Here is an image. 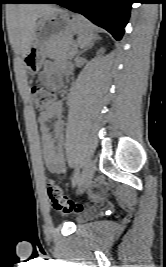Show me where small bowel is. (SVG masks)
Instances as JSON below:
<instances>
[{
  "label": "small bowel",
  "instance_id": "1",
  "mask_svg": "<svg viewBox=\"0 0 166 267\" xmlns=\"http://www.w3.org/2000/svg\"><path fill=\"white\" fill-rule=\"evenodd\" d=\"M60 71L68 72L69 68L63 64L47 62L40 75L41 82L50 88H58L60 86ZM61 115L62 104L56 102L45 111L40 112L38 116L43 160L46 168L56 174H61L64 171ZM51 119H56L53 130L46 125V122Z\"/></svg>",
  "mask_w": 166,
  "mask_h": 267
}]
</instances>
